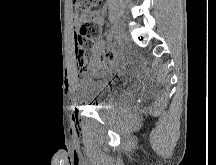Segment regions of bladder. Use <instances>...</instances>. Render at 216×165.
Listing matches in <instances>:
<instances>
[{
    "mask_svg": "<svg viewBox=\"0 0 216 165\" xmlns=\"http://www.w3.org/2000/svg\"><path fill=\"white\" fill-rule=\"evenodd\" d=\"M96 81H91L89 85V95L87 100L93 101L95 111H108V106L114 103L113 94H119L120 76H96Z\"/></svg>",
    "mask_w": 216,
    "mask_h": 165,
    "instance_id": "bladder-1",
    "label": "bladder"
}]
</instances>
